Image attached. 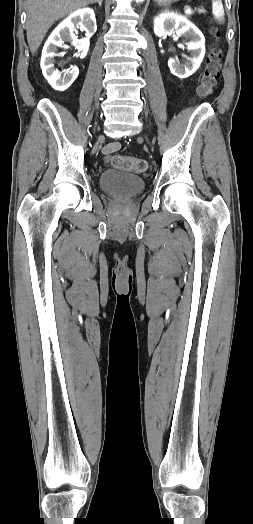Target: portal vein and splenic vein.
<instances>
[{
  "label": "portal vein and splenic vein",
  "mask_w": 253,
  "mask_h": 524,
  "mask_svg": "<svg viewBox=\"0 0 253 524\" xmlns=\"http://www.w3.org/2000/svg\"><path fill=\"white\" fill-rule=\"evenodd\" d=\"M184 13H185L186 15H190V14L192 13V9H191L189 6H186V7H185V11H184Z\"/></svg>",
  "instance_id": "1"
}]
</instances>
